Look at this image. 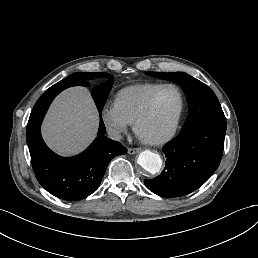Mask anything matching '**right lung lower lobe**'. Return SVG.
<instances>
[{"label":"right lung lower lobe","mask_w":258,"mask_h":258,"mask_svg":"<svg viewBox=\"0 0 258 258\" xmlns=\"http://www.w3.org/2000/svg\"><path fill=\"white\" fill-rule=\"evenodd\" d=\"M76 85L87 87L90 83L89 80L69 75L46 90L32 109L26 131L32 167L38 182L52 195L67 201L81 200L92 194L100 185L109 161L127 152L119 142L104 136L105 125L101 116L98 136L81 154L64 158L46 146L40 132L42 120L53 99L64 89Z\"/></svg>","instance_id":"right-lung-lower-lobe-1"}]
</instances>
